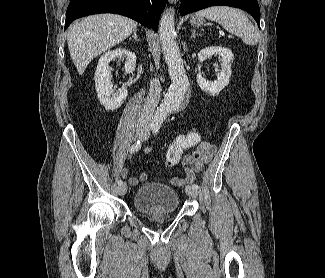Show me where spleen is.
<instances>
[{
	"instance_id": "3e777b00",
	"label": "spleen",
	"mask_w": 325,
	"mask_h": 278,
	"mask_svg": "<svg viewBox=\"0 0 325 278\" xmlns=\"http://www.w3.org/2000/svg\"><path fill=\"white\" fill-rule=\"evenodd\" d=\"M221 24L228 32L239 36L242 41L254 46L258 43V32L249 19L239 10L228 6H213L196 13Z\"/></svg>"
}]
</instances>
